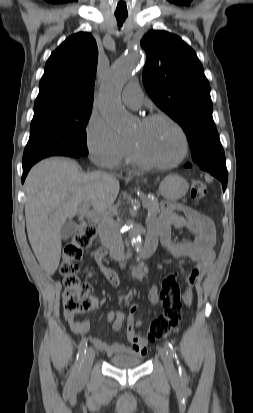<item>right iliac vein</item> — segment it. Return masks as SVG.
Listing matches in <instances>:
<instances>
[{
    "instance_id": "obj_1",
    "label": "right iliac vein",
    "mask_w": 253,
    "mask_h": 413,
    "mask_svg": "<svg viewBox=\"0 0 253 413\" xmlns=\"http://www.w3.org/2000/svg\"><path fill=\"white\" fill-rule=\"evenodd\" d=\"M95 352L94 350L90 347L87 349L86 354L84 356V360L81 366V369L77 375V380L79 382H83L88 378V374L90 371V368L92 366L93 360H94Z\"/></svg>"
}]
</instances>
